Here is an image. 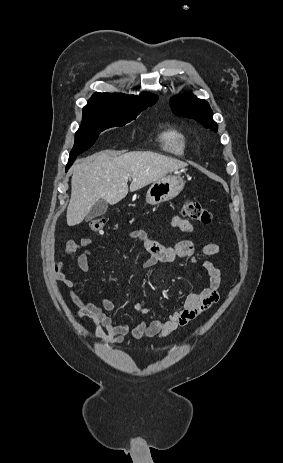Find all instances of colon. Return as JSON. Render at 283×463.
Returning <instances> with one entry per match:
<instances>
[{"label":"colon","instance_id":"1","mask_svg":"<svg viewBox=\"0 0 283 463\" xmlns=\"http://www.w3.org/2000/svg\"><path fill=\"white\" fill-rule=\"evenodd\" d=\"M182 215L201 224H208L211 222L212 216L210 211L202 204L185 200L182 206ZM106 225L105 218L96 217L89 220V229L97 234L103 232Z\"/></svg>","mask_w":283,"mask_h":463}]
</instances>
